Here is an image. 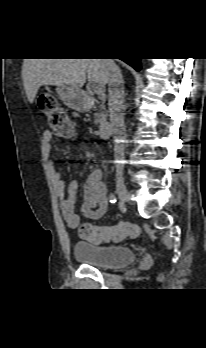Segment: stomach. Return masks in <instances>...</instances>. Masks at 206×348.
<instances>
[{"label": "stomach", "mask_w": 206, "mask_h": 348, "mask_svg": "<svg viewBox=\"0 0 206 348\" xmlns=\"http://www.w3.org/2000/svg\"><path fill=\"white\" fill-rule=\"evenodd\" d=\"M56 92L69 108L79 112L86 109V95L81 90H75L67 86H57Z\"/></svg>", "instance_id": "0dacf381"}]
</instances>
